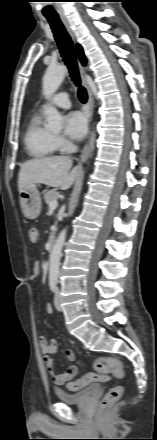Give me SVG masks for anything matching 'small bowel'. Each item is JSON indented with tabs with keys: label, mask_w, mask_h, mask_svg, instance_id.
Instances as JSON below:
<instances>
[{
	"label": "small bowel",
	"mask_w": 157,
	"mask_h": 440,
	"mask_svg": "<svg viewBox=\"0 0 157 440\" xmlns=\"http://www.w3.org/2000/svg\"><path fill=\"white\" fill-rule=\"evenodd\" d=\"M39 271H40V266L39 263L36 262L33 268L32 279H35L38 276ZM45 309L48 314L52 313V307L50 304H47ZM39 344H40L41 352L43 354V361L45 367L50 373L51 378L56 385H63L68 381L72 380L77 375L78 369L77 366L74 364H71L64 373L61 374L56 373L54 369V359H53L57 347V343L55 339L48 341L44 336H40ZM65 355L69 361H74L75 353L73 352V350L71 349L66 350Z\"/></svg>",
	"instance_id": "obj_1"
}]
</instances>
